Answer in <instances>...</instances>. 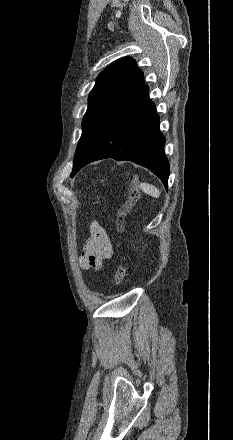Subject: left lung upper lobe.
Listing matches in <instances>:
<instances>
[{"instance_id":"obj_1","label":"left lung upper lobe","mask_w":233,"mask_h":440,"mask_svg":"<svg viewBox=\"0 0 233 440\" xmlns=\"http://www.w3.org/2000/svg\"><path fill=\"white\" fill-rule=\"evenodd\" d=\"M144 88L143 74L132 58L124 57L113 62L98 76L82 121V135L72 173L86 159L114 118Z\"/></svg>"}]
</instances>
